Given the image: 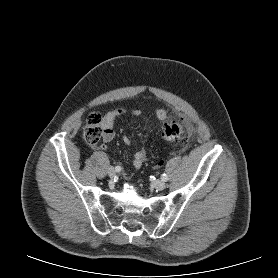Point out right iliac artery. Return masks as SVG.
I'll return each mask as SVG.
<instances>
[{"instance_id": "right-iliac-artery-1", "label": "right iliac artery", "mask_w": 278, "mask_h": 278, "mask_svg": "<svg viewBox=\"0 0 278 278\" xmlns=\"http://www.w3.org/2000/svg\"><path fill=\"white\" fill-rule=\"evenodd\" d=\"M115 170L119 172L121 170V167L120 166H116Z\"/></svg>"}]
</instances>
